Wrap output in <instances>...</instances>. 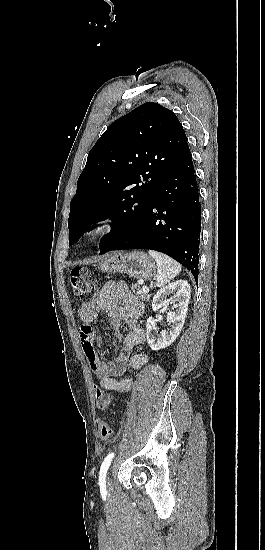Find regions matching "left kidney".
<instances>
[{
	"label": "left kidney",
	"mask_w": 265,
	"mask_h": 550,
	"mask_svg": "<svg viewBox=\"0 0 265 550\" xmlns=\"http://www.w3.org/2000/svg\"><path fill=\"white\" fill-rule=\"evenodd\" d=\"M173 294L169 299L167 296ZM191 289L187 281L178 280L161 288L153 298L152 309L158 311L164 306H170L167 321L170 328L160 333L156 327V319L149 317L146 323V337L150 348L154 351L171 345L180 334L187 315Z\"/></svg>",
	"instance_id": "5707ae66"
}]
</instances>
